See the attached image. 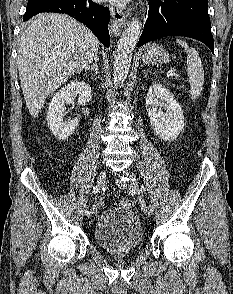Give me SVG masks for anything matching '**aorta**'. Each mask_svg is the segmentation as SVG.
Here are the masks:
<instances>
[{"label": "aorta", "instance_id": "obj_1", "mask_svg": "<svg viewBox=\"0 0 233 294\" xmlns=\"http://www.w3.org/2000/svg\"><path fill=\"white\" fill-rule=\"evenodd\" d=\"M141 26L142 24L138 18H133L118 41L113 63L115 83H123L127 78L133 52L140 36Z\"/></svg>", "mask_w": 233, "mask_h": 294}]
</instances>
